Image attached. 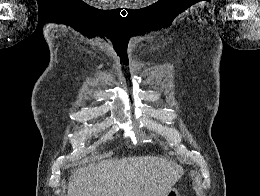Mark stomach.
<instances>
[{
  "label": "stomach",
  "mask_w": 260,
  "mask_h": 196,
  "mask_svg": "<svg viewBox=\"0 0 260 196\" xmlns=\"http://www.w3.org/2000/svg\"><path fill=\"white\" fill-rule=\"evenodd\" d=\"M161 196H182V191H179L178 187H173L172 191H168V193H161Z\"/></svg>",
  "instance_id": "0dacf381"
}]
</instances>
